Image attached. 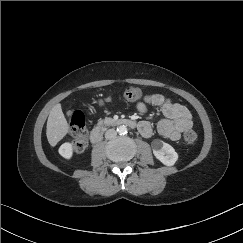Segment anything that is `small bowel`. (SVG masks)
<instances>
[{
	"instance_id": "c3829d8e",
	"label": "small bowel",
	"mask_w": 243,
	"mask_h": 243,
	"mask_svg": "<svg viewBox=\"0 0 243 243\" xmlns=\"http://www.w3.org/2000/svg\"><path fill=\"white\" fill-rule=\"evenodd\" d=\"M105 102H111V98L101 100L100 106ZM148 107L160 108L165 116L156 126L157 133L164 138L178 140L181 134L193 125L191 113L185 106L173 102L160 93H149L136 103V108L140 112H146ZM138 130L144 137H151L153 134V126L149 121L140 122Z\"/></svg>"
}]
</instances>
